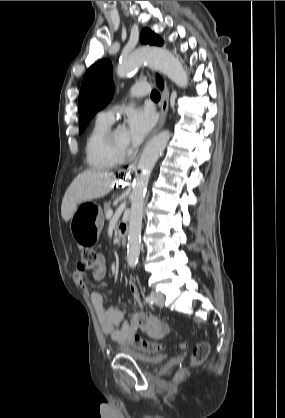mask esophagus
Here are the masks:
<instances>
[{"instance_id": "obj_1", "label": "esophagus", "mask_w": 285, "mask_h": 418, "mask_svg": "<svg viewBox=\"0 0 285 418\" xmlns=\"http://www.w3.org/2000/svg\"><path fill=\"white\" fill-rule=\"evenodd\" d=\"M168 109H169V94L166 88H164L161 92L160 119H159L157 126L153 130L152 135L155 134L159 129H161L163 125L165 124ZM138 161H139V157L131 165L128 166L127 170L128 171L136 170Z\"/></svg>"}]
</instances>
